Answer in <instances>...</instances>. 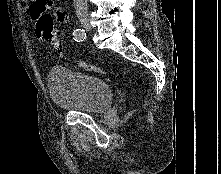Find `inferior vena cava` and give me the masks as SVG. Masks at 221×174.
Segmentation results:
<instances>
[{
    "label": "inferior vena cava",
    "instance_id": "obj_1",
    "mask_svg": "<svg viewBox=\"0 0 221 174\" xmlns=\"http://www.w3.org/2000/svg\"><path fill=\"white\" fill-rule=\"evenodd\" d=\"M76 15L78 17H84L88 14L87 1L86 0H73Z\"/></svg>",
    "mask_w": 221,
    "mask_h": 174
}]
</instances>
